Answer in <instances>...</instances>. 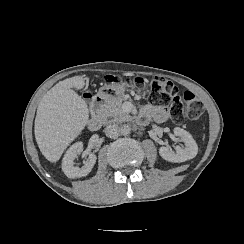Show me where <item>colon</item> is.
Instances as JSON below:
<instances>
[{
	"label": "colon",
	"instance_id": "1",
	"mask_svg": "<svg viewBox=\"0 0 244 244\" xmlns=\"http://www.w3.org/2000/svg\"><path fill=\"white\" fill-rule=\"evenodd\" d=\"M110 82L117 83V78H110ZM127 83H133L138 88L146 85L150 91L147 100L151 105L163 106L177 119L184 116L189 120L198 119L203 111L202 102L191 91H186L181 98L177 88L160 77H135L127 79ZM88 92V91H87ZM87 99L90 95L85 96Z\"/></svg>",
	"mask_w": 244,
	"mask_h": 244
}]
</instances>
